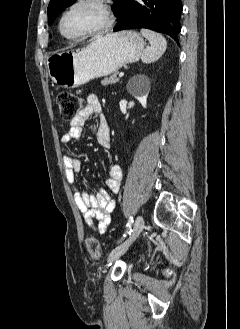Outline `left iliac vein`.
Wrapping results in <instances>:
<instances>
[{
	"mask_svg": "<svg viewBox=\"0 0 240 329\" xmlns=\"http://www.w3.org/2000/svg\"><path fill=\"white\" fill-rule=\"evenodd\" d=\"M145 223L142 216H138L134 223V228L130 236L120 244L116 249L112 250L108 255V262L117 260L122 254H124L130 245L135 241L139 234L144 229Z\"/></svg>",
	"mask_w": 240,
	"mask_h": 329,
	"instance_id": "left-iliac-vein-1",
	"label": "left iliac vein"
}]
</instances>
